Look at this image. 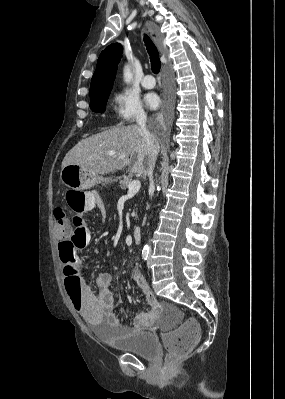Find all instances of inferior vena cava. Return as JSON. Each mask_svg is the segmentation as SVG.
Returning <instances> with one entry per match:
<instances>
[{
    "label": "inferior vena cava",
    "mask_w": 285,
    "mask_h": 399,
    "mask_svg": "<svg viewBox=\"0 0 285 399\" xmlns=\"http://www.w3.org/2000/svg\"><path fill=\"white\" fill-rule=\"evenodd\" d=\"M146 121H147V116L145 114H139L136 118V122L145 136L146 145H147L148 153L150 156L147 174H148L149 181H150L149 188L151 191V190H154L153 170H154L155 161H156V157H157L158 143H157L155 136L147 130Z\"/></svg>",
    "instance_id": "602c4592"
}]
</instances>
